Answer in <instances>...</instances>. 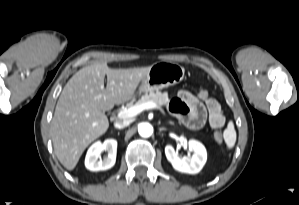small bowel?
<instances>
[{
    "instance_id": "c3829d8e",
    "label": "small bowel",
    "mask_w": 299,
    "mask_h": 205,
    "mask_svg": "<svg viewBox=\"0 0 299 205\" xmlns=\"http://www.w3.org/2000/svg\"><path fill=\"white\" fill-rule=\"evenodd\" d=\"M169 109L191 129L200 128L207 121L215 129L225 125V117L217 100L208 98L202 102L187 90L178 93L170 103Z\"/></svg>"
}]
</instances>
